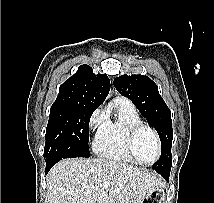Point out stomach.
Segmentation results:
<instances>
[{"label":"stomach","mask_w":214,"mask_h":203,"mask_svg":"<svg viewBox=\"0 0 214 203\" xmlns=\"http://www.w3.org/2000/svg\"><path fill=\"white\" fill-rule=\"evenodd\" d=\"M141 203H169L164 187L155 188L150 191Z\"/></svg>","instance_id":"1"}]
</instances>
